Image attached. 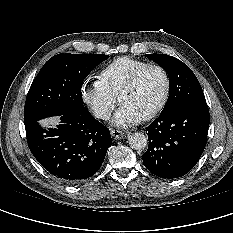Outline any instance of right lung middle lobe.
<instances>
[{
  "instance_id": "obj_1",
  "label": "right lung middle lobe",
  "mask_w": 233,
  "mask_h": 233,
  "mask_svg": "<svg viewBox=\"0 0 233 233\" xmlns=\"http://www.w3.org/2000/svg\"><path fill=\"white\" fill-rule=\"evenodd\" d=\"M108 57L104 54L61 53L50 58L28 92L24 108L25 125L85 108L82 83L94 67Z\"/></svg>"
}]
</instances>
